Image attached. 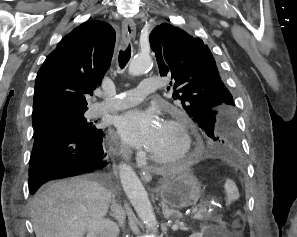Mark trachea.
<instances>
[{
	"mask_svg": "<svg viewBox=\"0 0 297 237\" xmlns=\"http://www.w3.org/2000/svg\"><path fill=\"white\" fill-rule=\"evenodd\" d=\"M130 57H131V47L129 44V46L125 50H121L119 52L118 61L121 69H123L126 66L128 61L130 60Z\"/></svg>",
	"mask_w": 297,
	"mask_h": 237,
	"instance_id": "trachea-1",
	"label": "trachea"
}]
</instances>
